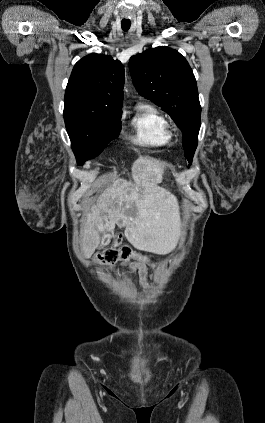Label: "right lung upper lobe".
<instances>
[{
	"label": "right lung upper lobe",
	"mask_w": 265,
	"mask_h": 423,
	"mask_svg": "<svg viewBox=\"0 0 265 423\" xmlns=\"http://www.w3.org/2000/svg\"><path fill=\"white\" fill-rule=\"evenodd\" d=\"M124 68L120 61L102 54L79 60L65 92V106L90 108L105 114H121Z\"/></svg>",
	"instance_id": "right-lung-upper-lobe-1"
}]
</instances>
